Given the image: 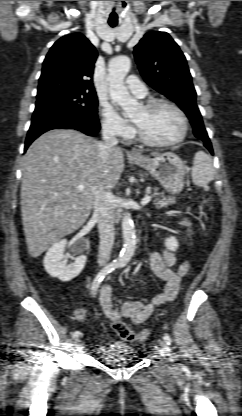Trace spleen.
Returning <instances> with one entry per match:
<instances>
[{
	"instance_id": "3e777b00",
	"label": "spleen",
	"mask_w": 242,
	"mask_h": 416,
	"mask_svg": "<svg viewBox=\"0 0 242 416\" xmlns=\"http://www.w3.org/2000/svg\"><path fill=\"white\" fill-rule=\"evenodd\" d=\"M192 182L199 187H204L215 178V169L212 159L203 151H198L193 160Z\"/></svg>"
}]
</instances>
